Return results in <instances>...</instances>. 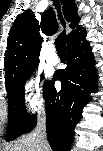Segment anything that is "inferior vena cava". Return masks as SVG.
I'll return each instance as SVG.
<instances>
[{
  "instance_id": "obj_1",
  "label": "inferior vena cava",
  "mask_w": 103,
  "mask_h": 151,
  "mask_svg": "<svg viewBox=\"0 0 103 151\" xmlns=\"http://www.w3.org/2000/svg\"><path fill=\"white\" fill-rule=\"evenodd\" d=\"M41 117L38 118V126H37V133L39 135H42L44 137V141H46V138H45V130H46V127H45V116H44V112L40 113L39 114Z\"/></svg>"
}]
</instances>
